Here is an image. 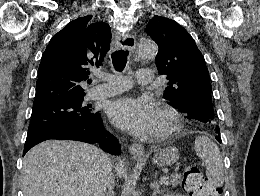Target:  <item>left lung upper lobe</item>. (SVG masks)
<instances>
[{"mask_svg": "<svg viewBox=\"0 0 260 196\" xmlns=\"http://www.w3.org/2000/svg\"><path fill=\"white\" fill-rule=\"evenodd\" d=\"M145 32L159 47L156 65L169 80L163 97L170 105L187 113L188 119L192 109L213 107L208 69L191 35L176 21L157 15ZM200 124L217 127L216 118Z\"/></svg>", "mask_w": 260, "mask_h": 196, "instance_id": "1", "label": "left lung upper lobe"}]
</instances>
